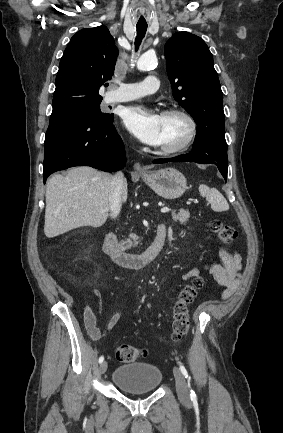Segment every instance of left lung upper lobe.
<instances>
[{"mask_svg":"<svg viewBox=\"0 0 283 433\" xmlns=\"http://www.w3.org/2000/svg\"><path fill=\"white\" fill-rule=\"evenodd\" d=\"M164 53L174 99L198 129L215 126L225 130L223 93L206 43L194 34L177 32L165 44Z\"/></svg>","mask_w":283,"mask_h":433,"instance_id":"1","label":"left lung upper lobe"}]
</instances>
